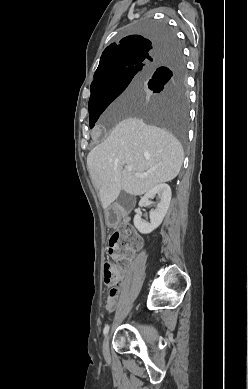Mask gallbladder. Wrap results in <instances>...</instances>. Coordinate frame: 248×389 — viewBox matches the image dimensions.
<instances>
[{"mask_svg":"<svg viewBox=\"0 0 248 389\" xmlns=\"http://www.w3.org/2000/svg\"><path fill=\"white\" fill-rule=\"evenodd\" d=\"M131 201V197L125 191H122L117 198V202L125 209L130 207Z\"/></svg>","mask_w":248,"mask_h":389,"instance_id":"1","label":"gallbladder"}]
</instances>
